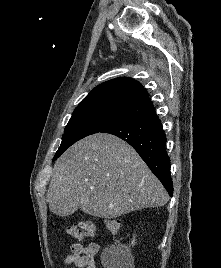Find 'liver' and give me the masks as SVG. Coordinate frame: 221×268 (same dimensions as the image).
<instances>
[{"instance_id": "obj_1", "label": "liver", "mask_w": 221, "mask_h": 268, "mask_svg": "<svg viewBox=\"0 0 221 268\" xmlns=\"http://www.w3.org/2000/svg\"><path fill=\"white\" fill-rule=\"evenodd\" d=\"M46 200L59 216L80 209L111 219L144 207L163 206L169 197L129 144L98 133L75 143L58 159Z\"/></svg>"}]
</instances>
